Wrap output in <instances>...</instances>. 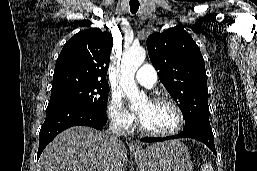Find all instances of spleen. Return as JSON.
<instances>
[{
	"instance_id": "spleen-1",
	"label": "spleen",
	"mask_w": 257,
	"mask_h": 171,
	"mask_svg": "<svg viewBox=\"0 0 257 171\" xmlns=\"http://www.w3.org/2000/svg\"><path fill=\"white\" fill-rule=\"evenodd\" d=\"M203 160L205 161V159L203 158ZM200 171H214L213 170V167L211 164L209 163H204L201 168H200Z\"/></svg>"
}]
</instances>
